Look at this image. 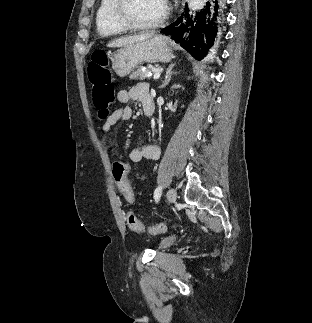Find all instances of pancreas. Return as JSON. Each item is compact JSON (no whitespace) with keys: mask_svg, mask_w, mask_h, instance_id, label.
<instances>
[{"mask_svg":"<svg viewBox=\"0 0 312 323\" xmlns=\"http://www.w3.org/2000/svg\"><path fill=\"white\" fill-rule=\"evenodd\" d=\"M149 72H152L151 68H146V70L138 68L136 72H132V74H130L129 78L130 80H146V78H151V76H149Z\"/></svg>","mask_w":312,"mask_h":323,"instance_id":"obj_1","label":"pancreas"}]
</instances>
